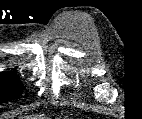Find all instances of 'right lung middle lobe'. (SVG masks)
<instances>
[{
	"label": "right lung middle lobe",
	"instance_id": "1",
	"mask_svg": "<svg viewBox=\"0 0 142 119\" xmlns=\"http://www.w3.org/2000/svg\"><path fill=\"white\" fill-rule=\"evenodd\" d=\"M24 86L11 74H0V104L21 95Z\"/></svg>",
	"mask_w": 142,
	"mask_h": 119
}]
</instances>
